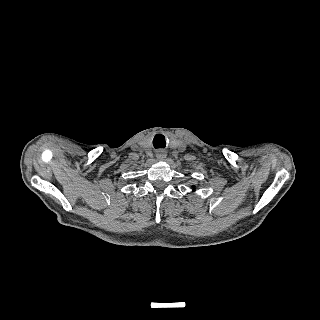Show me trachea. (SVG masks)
Listing matches in <instances>:
<instances>
[{
	"mask_svg": "<svg viewBox=\"0 0 320 320\" xmlns=\"http://www.w3.org/2000/svg\"><path fill=\"white\" fill-rule=\"evenodd\" d=\"M153 146L156 149L165 148V146H166L165 137L162 134L155 135V137L153 139Z\"/></svg>",
	"mask_w": 320,
	"mask_h": 320,
	"instance_id": "obj_1",
	"label": "trachea"
}]
</instances>
